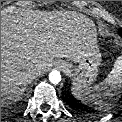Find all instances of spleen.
<instances>
[{"label": "spleen", "instance_id": "1", "mask_svg": "<svg viewBox=\"0 0 122 122\" xmlns=\"http://www.w3.org/2000/svg\"><path fill=\"white\" fill-rule=\"evenodd\" d=\"M122 87V56H119L106 79L93 87L82 88L73 85L72 94L81 102L102 109L108 106L104 100L115 98Z\"/></svg>", "mask_w": 122, "mask_h": 122}]
</instances>
